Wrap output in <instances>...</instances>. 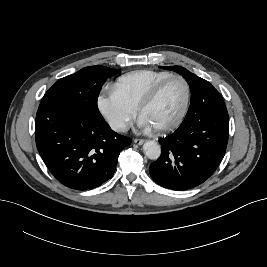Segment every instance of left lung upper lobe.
Returning <instances> with one entry per match:
<instances>
[{
	"instance_id": "5c2ea615",
	"label": "left lung upper lobe",
	"mask_w": 267,
	"mask_h": 267,
	"mask_svg": "<svg viewBox=\"0 0 267 267\" xmlns=\"http://www.w3.org/2000/svg\"><path fill=\"white\" fill-rule=\"evenodd\" d=\"M162 68L176 71L181 74L189 84L191 90V103L185 119L191 116L192 106L197 103H202L203 101H206L209 108L215 112L219 114L227 113V109L221 95L208 81L196 76L180 66H167Z\"/></svg>"
}]
</instances>
